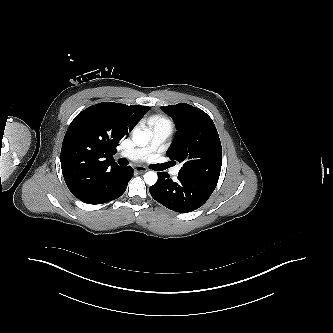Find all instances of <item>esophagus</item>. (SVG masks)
<instances>
[{
    "instance_id": "obj_1",
    "label": "esophagus",
    "mask_w": 333,
    "mask_h": 333,
    "mask_svg": "<svg viewBox=\"0 0 333 333\" xmlns=\"http://www.w3.org/2000/svg\"><path fill=\"white\" fill-rule=\"evenodd\" d=\"M134 170H135L137 173H144V172L147 171V168L142 167V166H135V167H134Z\"/></svg>"
}]
</instances>
